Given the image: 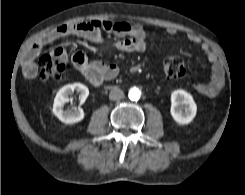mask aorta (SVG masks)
<instances>
[{
	"mask_svg": "<svg viewBox=\"0 0 245 195\" xmlns=\"http://www.w3.org/2000/svg\"><path fill=\"white\" fill-rule=\"evenodd\" d=\"M128 96L130 100L137 101L141 97V91L138 88L133 87L129 90Z\"/></svg>",
	"mask_w": 245,
	"mask_h": 195,
	"instance_id": "762f6f07",
	"label": "aorta"
}]
</instances>
